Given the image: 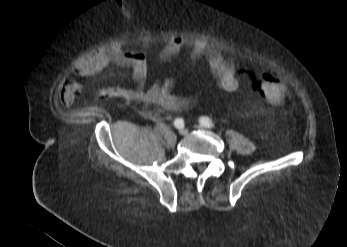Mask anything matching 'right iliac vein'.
I'll list each match as a JSON object with an SVG mask.
<instances>
[{
	"label": "right iliac vein",
	"instance_id": "1",
	"mask_svg": "<svg viewBox=\"0 0 347 247\" xmlns=\"http://www.w3.org/2000/svg\"><path fill=\"white\" fill-rule=\"evenodd\" d=\"M179 133H180L181 135H186V134H187V131H186L185 128H180V129H179Z\"/></svg>",
	"mask_w": 347,
	"mask_h": 247
}]
</instances>
